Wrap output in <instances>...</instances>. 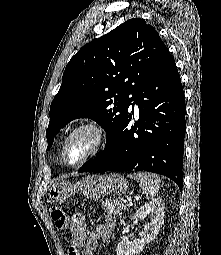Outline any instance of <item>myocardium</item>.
I'll use <instances>...</instances> for the list:
<instances>
[{"label": "myocardium", "mask_w": 221, "mask_h": 255, "mask_svg": "<svg viewBox=\"0 0 221 255\" xmlns=\"http://www.w3.org/2000/svg\"><path fill=\"white\" fill-rule=\"evenodd\" d=\"M82 131H89L93 134V136H94L93 147L89 151V153L86 156H84L80 161L75 162V163H70L66 160V156H65L67 144L74 135H76L77 133H80ZM105 139H106V133H105L104 126L97 121H93V120L86 121V122L76 126L69 132V134L65 137V139L63 141V145L61 148L62 161L66 165L71 166V167L81 166L82 164H84L89 159H91L92 157H94L96 154L99 153V151L102 149V147L105 143Z\"/></svg>", "instance_id": "1"}]
</instances>
